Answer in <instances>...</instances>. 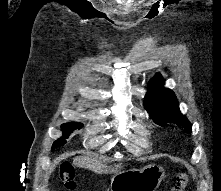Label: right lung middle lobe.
<instances>
[{
    "mask_svg": "<svg viewBox=\"0 0 221 191\" xmlns=\"http://www.w3.org/2000/svg\"><path fill=\"white\" fill-rule=\"evenodd\" d=\"M83 127L82 123H77V122H70V123H65L61 126L62 130H63V137H61L60 139L56 140L52 146V150H54V148L56 146H62L66 143V139L69 138V134L72 133V131H74L75 129H81Z\"/></svg>",
    "mask_w": 221,
    "mask_h": 191,
    "instance_id": "dd1d6c3e",
    "label": "right lung middle lobe"
}]
</instances>
